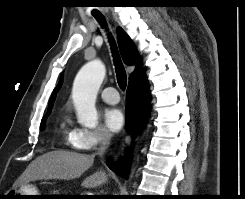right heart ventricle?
I'll return each instance as SVG.
<instances>
[{"mask_svg":"<svg viewBox=\"0 0 245 199\" xmlns=\"http://www.w3.org/2000/svg\"><path fill=\"white\" fill-rule=\"evenodd\" d=\"M75 129L72 125L71 119L69 116L64 115L60 121V130L64 133L67 142L72 145L74 148V133ZM76 149V148H75Z\"/></svg>","mask_w":245,"mask_h":199,"instance_id":"right-heart-ventricle-1","label":"right heart ventricle"}]
</instances>
